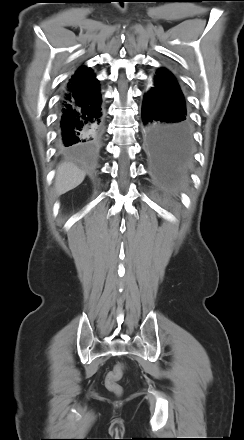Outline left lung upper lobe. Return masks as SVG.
Returning a JSON list of instances; mask_svg holds the SVG:
<instances>
[{"mask_svg": "<svg viewBox=\"0 0 244 440\" xmlns=\"http://www.w3.org/2000/svg\"><path fill=\"white\" fill-rule=\"evenodd\" d=\"M154 86L173 101H176L182 106L186 107L184 96L181 92L178 82L174 75L167 69L161 68L156 72L154 77Z\"/></svg>", "mask_w": 244, "mask_h": 440, "instance_id": "1", "label": "left lung upper lobe"}]
</instances>
